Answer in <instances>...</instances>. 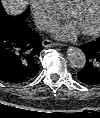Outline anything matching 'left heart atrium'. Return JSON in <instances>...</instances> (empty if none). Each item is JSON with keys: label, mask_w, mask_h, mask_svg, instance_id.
<instances>
[{"label": "left heart atrium", "mask_w": 100, "mask_h": 118, "mask_svg": "<svg viewBox=\"0 0 100 118\" xmlns=\"http://www.w3.org/2000/svg\"><path fill=\"white\" fill-rule=\"evenodd\" d=\"M52 31L56 37L64 40H71L79 33V29L71 21L65 24L55 25Z\"/></svg>", "instance_id": "left-heart-atrium-1"}]
</instances>
